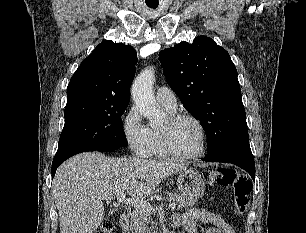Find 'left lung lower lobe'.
<instances>
[{
  "instance_id": "1",
  "label": "left lung lower lobe",
  "mask_w": 306,
  "mask_h": 233,
  "mask_svg": "<svg viewBox=\"0 0 306 233\" xmlns=\"http://www.w3.org/2000/svg\"><path fill=\"white\" fill-rule=\"evenodd\" d=\"M202 160L207 162L232 163L246 170L255 181V163L249 143L226 147L209 154L208 157Z\"/></svg>"
}]
</instances>
